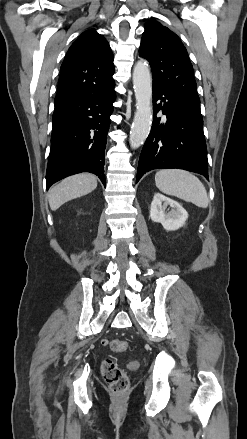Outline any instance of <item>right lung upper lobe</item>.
<instances>
[{"instance_id":"1","label":"right lung upper lobe","mask_w":247,"mask_h":439,"mask_svg":"<svg viewBox=\"0 0 247 439\" xmlns=\"http://www.w3.org/2000/svg\"><path fill=\"white\" fill-rule=\"evenodd\" d=\"M113 53L95 29L82 33L69 48L61 65L55 109L114 85Z\"/></svg>"}]
</instances>
